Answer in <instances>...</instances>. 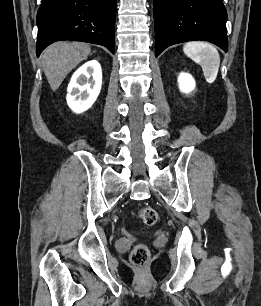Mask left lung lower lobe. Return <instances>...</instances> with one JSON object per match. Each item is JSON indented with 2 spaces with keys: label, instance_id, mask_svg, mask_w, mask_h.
<instances>
[{
  "label": "left lung lower lobe",
  "instance_id": "left-lung-lower-lobe-1",
  "mask_svg": "<svg viewBox=\"0 0 261 306\" xmlns=\"http://www.w3.org/2000/svg\"><path fill=\"white\" fill-rule=\"evenodd\" d=\"M156 56L170 45L210 41L228 51L227 12L222 0H153Z\"/></svg>",
  "mask_w": 261,
  "mask_h": 306
}]
</instances>
